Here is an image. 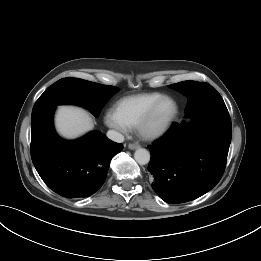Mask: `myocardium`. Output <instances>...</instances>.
<instances>
[{"mask_svg":"<svg viewBox=\"0 0 261 261\" xmlns=\"http://www.w3.org/2000/svg\"><path fill=\"white\" fill-rule=\"evenodd\" d=\"M170 102L172 104L171 112L159 123L155 124L154 120L160 109L165 103ZM179 112L178 103L171 96L163 95L159 98L143 115L136 125L138 134L147 140L159 138L165 134L168 129L172 126Z\"/></svg>","mask_w":261,"mask_h":261,"instance_id":"myocardium-1","label":"myocardium"}]
</instances>
